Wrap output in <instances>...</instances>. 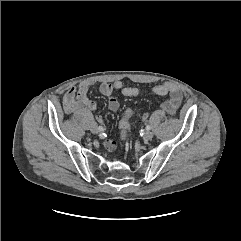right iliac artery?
Masks as SVG:
<instances>
[{"mask_svg":"<svg viewBox=\"0 0 241 241\" xmlns=\"http://www.w3.org/2000/svg\"><path fill=\"white\" fill-rule=\"evenodd\" d=\"M98 128H99L100 131H104V127L99 126Z\"/></svg>","mask_w":241,"mask_h":241,"instance_id":"right-iliac-artery-1","label":"right iliac artery"}]
</instances>
